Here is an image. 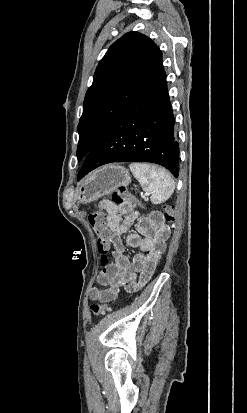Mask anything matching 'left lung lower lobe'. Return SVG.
<instances>
[{
    "instance_id": "obj_1",
    "label": "left lung lower lobe",
    "mask_w": 247,
    "mask_h": 413,
    "mask_svg": "<svg viewBox=\"0 0 247 413\" xmlns=\"http://www.w3.org/2000/svg\"><path fill=\"white\" fill-rule=\"evenodd\" d=\"M174 124L162 67L85 156L78 180L111 162L157 163L178 177L179 144Z\"/></svg>"
}]
</instances>
